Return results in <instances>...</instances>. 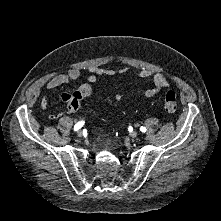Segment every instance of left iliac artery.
Returning <instances> with one entry per match:
<instances>
[{"instance_id": "obj_1", "label": "left iliac artery", "mask_w": 221, "mask_h": 221, "mask_svg": "<svg viewBox=\"0 0 221 221\" xmlns=\"http://www.w3.org/2000/svg\"><path fill=\"white\" fill-rule=\"evenodd\" d=\"M140 131H141V132H146V128L143 127V126H141V127H140Z\"/></svg>"}]
</instances>
